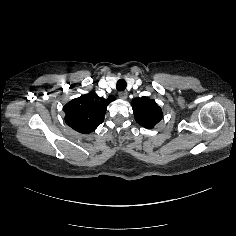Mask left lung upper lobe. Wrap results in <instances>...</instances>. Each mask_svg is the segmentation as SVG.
I'll list each match as a JSON object with an SVG mask.
<instances>
[{"mask_svg":"<svg viewBox=\"0 0 236 236\" xmlns=\"http://www.w3.org/2000/svg\"><path fill=\"white\" fill-rule=\"evenodd\" d=\"M131 105L135 120L142 127L151 129L163 117L161 108L153 99H149L147 97L135 98L132 100Z\"/></svg>","mask_w":236,"mask_h":236,"instance_id":"5c2ea615","label":"left lung upper lobe"}]
</instances>
